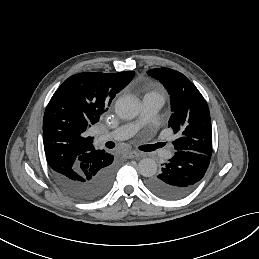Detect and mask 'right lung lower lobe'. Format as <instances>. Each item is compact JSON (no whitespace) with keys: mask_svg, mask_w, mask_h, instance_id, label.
I'll return each instance as SVG.
<instances>
[{"mask_svg":"<svg viewBox=\"0 0 259 259\" xmlns=\"http://www.w3.org/2000/svg\"><path fill=\"white\" fill-rule=\"evenodd\" d=\"M113 159V155L104 151L70 173L52 171V174L59 187L71 198L92 202L102 198L112 185L115 175Z\"/></svg>","mask_w":259,"mask_h":259,"instance_id":"98d812e1","label":"right lung lower lobe"}]
</instances>
